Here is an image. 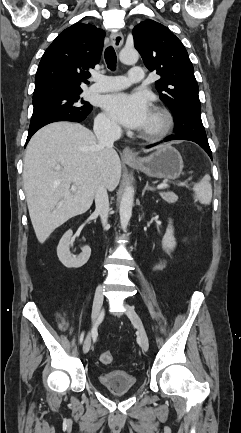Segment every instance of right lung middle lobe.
Instances as JSON below:
<instances>
[{
  "mask_svg": "<svg viewBox=\"0 0 241 433\" xmlns=\"http://www.w3.org/2000/svg\"><path fill=\"white\" fill-rule=\"evenodd\" d=\"M82 91H57L33 97V114L29 130L61 115H88L91 105L81 97Z\"/></svg>",
  "mask_w": 241,
  "mask_h": 433,
  "instance_id": "1",
  "label": "right lung middle lobe"
}]
</instances>
